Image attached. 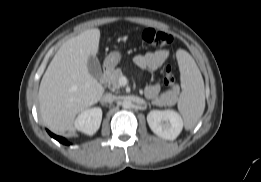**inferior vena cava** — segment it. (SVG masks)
<instances>
[{
	"instance_id": "1",
	"label": "inferior vena cava",
	"mask_w": 261,
	"mask_h": 182,
	"mask_svg": "<svg viewBox=\"0 0 261 182\" xmlns=\"http://www.w3.org/2000/svg\"><path fill=\"white\" fill-rule=\"evenodd\" d=\"M117 99V97L111 93H106L101 97V102L105 103H112Z\"/></svg>"
}]
</instances>
